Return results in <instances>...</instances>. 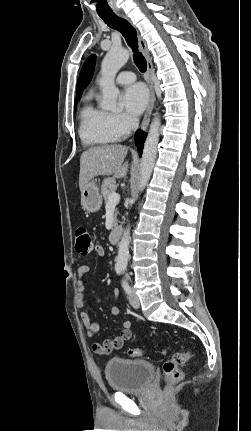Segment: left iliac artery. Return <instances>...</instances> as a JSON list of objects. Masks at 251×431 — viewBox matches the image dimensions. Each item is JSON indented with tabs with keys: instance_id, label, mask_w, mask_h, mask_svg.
<instances>
[{
	"instance_id": "1",
	"label": "left iliac artery",
	"mask_w": 251,
	"mask_h": 431,
	"mask_svg": "<svg viewBox=\"0 0 251 431\" xmlns=\"http://www.w3.org/2000/svg\"><path fill=\"white\" fill-rule=\"evenodd\" d=\"M122 286L127 293L130 292V287L124 280L122 281Z\"/></svg>"
}]
</instances>
